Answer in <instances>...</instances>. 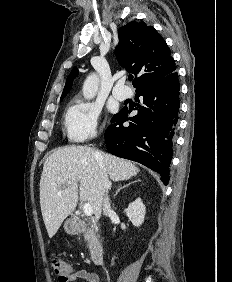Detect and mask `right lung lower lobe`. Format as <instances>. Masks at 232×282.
Instances as JSON below:
<instances>
[{"mask_svg": "<svg viewBox=\"0 0 232 282\" xmlns=\"http://www.w3.org/2000/svg\"><path fill=\"white\" fill-rule=\"evenodd\" d=\"M180 85L177 72L147 81L136 88L142 96L138 114L127 118L131 110L123 108L114 115L105 132L108 151L116 156L137 161L169 181L173 137L178 120ZM137 109V108H136ZM129 120V126L123 122Z\"/></svg>", "mask_w": 232, "mask_h": 282, "instance_id": "obj_1", "label": "right lung lower lobe"}]
</instances>
